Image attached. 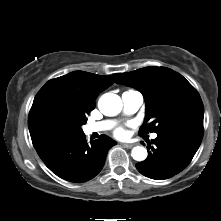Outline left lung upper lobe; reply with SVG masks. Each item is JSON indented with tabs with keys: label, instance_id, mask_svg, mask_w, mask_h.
<instances>
[{
	"label": "left lung upper lobe",
	"instance_id": "left-lung-upper-lobe-1",
	"mask_svg": "<svg viewBox=\"0 0 221 221\" xmlns=\"http://www.w3.org/2000/svg\"><path fill=\"white\" fill-rule=\"evenodd\" d=\"M116 83L134 87L144 95L146 117L140 133L203 127L204 107L198 92L172 69L146 67L120 74Z\"/></svg>",
	"mask_w": 221,
	"mask_h": 221
}]
</instances>
